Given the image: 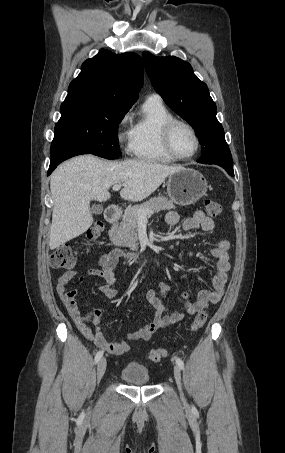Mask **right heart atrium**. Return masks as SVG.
<instances>
[{
	"label": "right heart atrium",
	"instance_id": "d8ad5b80",
	"mask_svg": "<svg viewBox=\"0 0 285 453\" xmlns=\"http://www.w3.org/2000/svg\"><path fill=\"white\" fill-rule=\"evenodd\" d=\"M129 121V114L125 113L119 120L117 124V139L120 142L125 141L129 138V131L126 130V125Z\"/></svg>",
	"mask_w": 285,
	"mask_h": 453
}]
</instances>
